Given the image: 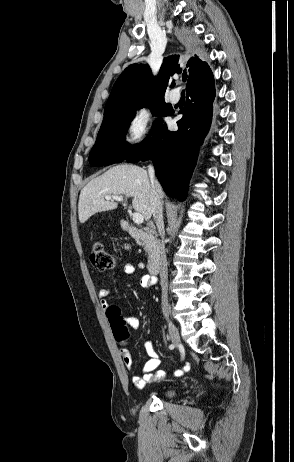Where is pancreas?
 <instances>
[{
	"label": "pancreas",
	"instance_id": "pancreas-1",
	"mask_svg": "<svg viewBox=\"0 0 294 462\" xmlns=\"http://www.w3.org/2000/svg\"><path fill=\"white\" fill-rule=\"evenodd\" d=\"M144 250H145L146 252H148V251H149V248H148V246H147V245H145V246H144Z\"/></svg>",
	"mask_w": 294,
	"mask_h": 462
}]
</instances>
